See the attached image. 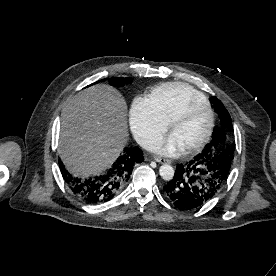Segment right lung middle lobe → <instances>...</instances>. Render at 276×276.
Segmentation results:
<instances>
[{
	"label": "right lung middle lobe",
	"instance_id": "right-lung-middle-lobe-1",
	"mask_svg": "<svg viewBox=\"0 0 276 276\" xmlns=\"http://www.w3.org/2000/svg\"><path fill=\"white\" fill-rule=\"evenodd\" d=\"M131 81L128 78H112L110 83L115 86H123L125 83H130Z\"/></svg>",
	"mask_w": 276,
	"mask_h": 276
}]
</instances>
